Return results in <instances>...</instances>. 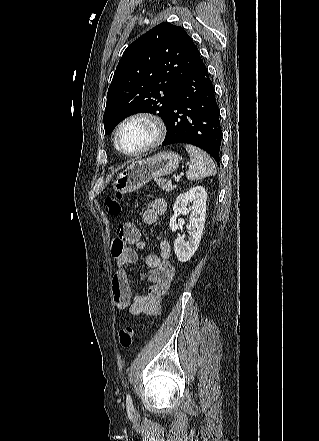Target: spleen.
Returning a JSON list of instances; mask_svg holds the SVG:
<instances>
[{
	"mask_svg": "<svg viewBox=\"0 0 319 441\" xmlns=\"http://www.w3.org/2000/svg\"><path fill=\"white\" fill-rule=\"evenodd\" d=\"M185 148L191 161V166L186 172L187 179L197 181L216 173L215 163L207 153L193 145H185Z\"/></svg>",
	"mask_w": 319,
	"mask_h": 441,
	"instance_id": "obj_1",
	"label": "spleen"
}]
</instances>
